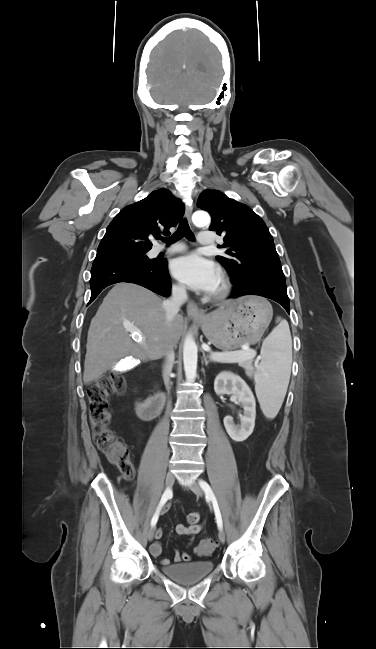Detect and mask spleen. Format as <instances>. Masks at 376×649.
<instances>
[{"label":"spleen","instance_id":"obj_1","mask_svg":"<svg viewBox=\"0 0 376 649\" xmlns=\"http://www.w3.org/2000/svg\"><path fill=\"white\" fill-rule=\"evenodd\" d=\"M279 324L262 344V361L253 373L255 392L267 418L279 412L287 392L292 363V339L288 322ZM251 376V374H248Z\"/></svg>","mask_w":376,"mask_h":649}]
</instances>
